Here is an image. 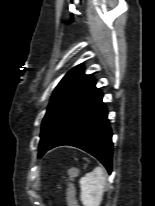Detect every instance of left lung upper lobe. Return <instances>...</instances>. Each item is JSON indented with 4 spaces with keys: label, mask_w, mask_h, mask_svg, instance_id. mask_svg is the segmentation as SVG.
<instances>
[{
    "label": "left lung upper lobe",
    "mask_w": 155,
    "mask_h": 206,
    "mask_svg": "<svg viewBox=\"0 0 155 206\" xmlns=\"http://www.w3.org/2000/svg\"><path fill=\"white\" fill-rule=\"evenodd\" d=\"M103 96L83 66L69 70L56 87L42 122L39 154L62 137L73 124Z\"/></svg>",
    "instance_id": "5c2ea615"
}]
</instances>
